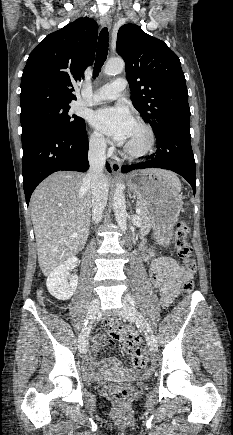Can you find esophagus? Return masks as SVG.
<instances>
[{
	"mask_svg": "<svg viewBox=\"0 0 233 435\" xmlns=\"http://www.w3.org/2000/svg\"><path fill=\"white\" fill-rule=\"evenodd\" d=\"M112 17L110 14H106L101 18V26L106 27L108 30L111 29ZM112 172L114 174H120L121 164L118 161L111 160L110 162Z\"/></svg>",
	"mask_w": 233,
	"mask_h": 435,
	"instance_id": "1",
	"label": "esophagus"
}]
</instances>
